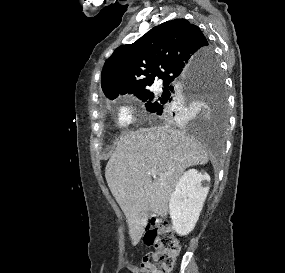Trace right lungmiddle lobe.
I'll return each instance as SVG.
<instances>
[{
    "instance_id": "right-lung-middle-lobe-1",
    "label": "right lung middle lobe",
    "mask_w": 285,
    "mask_h": 273,
    "mask_svg": "<svg viewBox=\"0 0 285 273\" xmlns=\"http://www.w3.org/2000/svg\"><path fill=\"white\" fill-rule=\"evenodd\" d=\"M206 59L207 67L199 74L198 80L197 77L192 78V85L187 89L176 88V93H171L167 85H164L166 87L163 88L162 95L144 90L136 93L135 96L146 102L145 106L149 112L156 113L163 108L162 116L167 119L178 118L183 108L190 106L194 101H205L218 113L217 126L223 132L227 121L225 83L213 50L207 54Z\"/></svg>"
}]
</instances>
